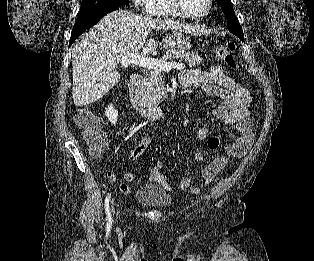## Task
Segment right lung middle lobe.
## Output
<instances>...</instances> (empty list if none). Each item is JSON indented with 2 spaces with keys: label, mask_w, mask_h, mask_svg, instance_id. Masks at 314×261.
Segmentation results:
<instances>
[{
  "label": "right lung middle lobe",
  "mask_w": 314,
  "mask_h": 261,
  "mask_svg": "<svg viewBox=\"0 0 314 261\" xmlns=\"http://www.w3.org/2000/svg\"><path fill=\"white\" fill-rule=\"evenodd\" d=\"M127 4H129L128 0H82L77 20L90 17L95 13L112 6H122Z\"/></svg>",
  "instance_id": "obj_1"
}]
</instances>
